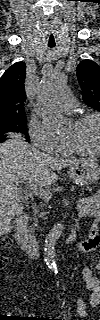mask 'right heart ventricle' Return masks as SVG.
I'll return each instance as SVG.
<instances>
[{
  "label": "right heart ventricle",
  "mask_w": 100,
  "mask_h": 320,
  "mask_svg": "<svg viewBox=\"0 0 100 320\" xmlns=\"http://www.w3.org/2000/svg\"><path fill=\"white\" fill-rule=\"evenodd\" d=\"M56 153L61 154V155H73V154H78L76 150L71 148L65 139H61V142L56 150Z\"/></svg>",
  "instance_id": "obj_1"
}]
</instances>
